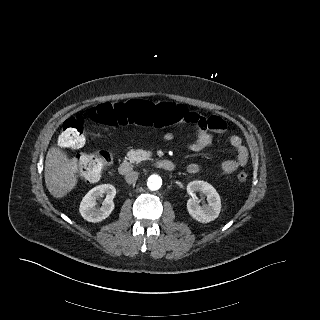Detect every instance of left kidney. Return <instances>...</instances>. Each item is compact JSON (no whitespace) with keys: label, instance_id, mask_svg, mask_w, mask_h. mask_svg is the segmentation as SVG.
<instances>
[{"label":"left kidney","instance_id":"1","mask_svg":"<svg viewBox=\"0 0 320 320\" xmlns=\"http://www.w3.org/2000/svg\"><path fill=\"white\" fill-rule=\"evenodd\" d=\"M187 192L191 196L187 201V211L192 218L201 223H208L219 216L221 211V199L212 185L204 181H192L187 185ZM196 192L205 195L208 204L200 206L196 199Z\"/></svg>","mask_w":320,"mask_h":320}]
</instances>
